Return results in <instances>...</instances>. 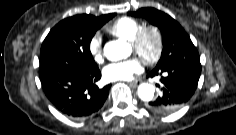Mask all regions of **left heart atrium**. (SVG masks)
Wrapping results in <instances>:
<instances>
[{"instance_id":"obj_1","label":"left heart atrium","mask_w":236,"mask_h":135,"mask_svg":"<svg viewBox=\"0 0 236 135\" xmlns=\"http://www.w3.org/2000/svg\"><path fill=\"white\" fill-rule=\"evenodd\" d=\"M142 71V65L137 58L113 62L104 69V76L108 80H129Z\"/></svg>"}]
</instances>
